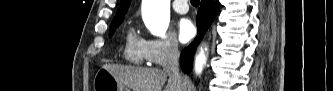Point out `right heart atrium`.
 <instances>
[{
    "mask_svg": "<svg viewBox=\"0 0 333 91\" xmlns=\"http://www.w3.org/2000/svg\"><path fill=\"white\" fill-rule=\"evenodd\" d=\"M144 52L147 62L152 65H163L176 59L180 48L173 37L149 38L144 40Z\"/></svg>",
    "mask_w": 333,
    "mask_h": 91,
    "instance_id": "d8ad5b80",
    "label": "right heart atrium"
}]
</instances>
